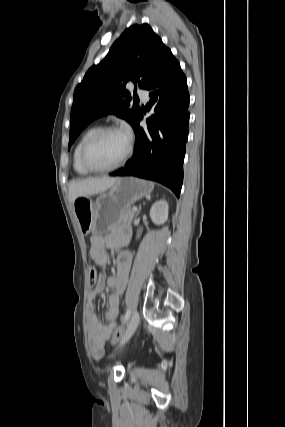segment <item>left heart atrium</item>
Wrapping results in <instances>:
<instances>
[{
	"mask_svg": "<svg viewBox=\"0 0 285 427\" xmlns=\"http://www.w3.org/2000/svg\"><path fill=\"white\" fill-rule=\"evenodd\" d=\"M121 132L129 139L131 138V131L128 126H123Z\"/></svg>",
	"mask_w": 285,
	"mask_h": 427,
	"instance_id": "obj_1",
	"label": "left heart atrium"
}]
</instances>
